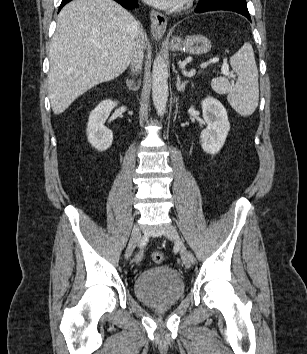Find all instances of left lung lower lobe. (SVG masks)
Returning <instances> with one entry per match:
<instances>
[{
    "label": "left lung lower lobe",
    "instance_id": "1",
    "mask_svg": "<svg viewBox=\"0 0 307 354\" xmlns=\"http://www.w3.org/2000/svg\"><path fill=\"white\" fill-rule=\"evenodd\" d=\"M215 10L237 12L251 21L246 0H204L199 1L195 12L202 13Z\"/></svg>",
    "mask_w": 307,
    "mask_h": 354
}]
</instances>
